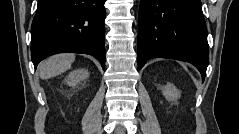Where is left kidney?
<instances>
[{
    "label": "left kidney",
    "mask_w": 239,
    "mask_h": 134,
    "mask_svg": "<svg viewBox=\"0 0 239 134\" xmlns=\"http://www.w3.org/2000/svg\"><path fill=\"white\" fill-rule=\"evenodd\" d=\"M162 93L168 101H175L181 96V92L171 83L162 87Z\"/></svg>",
    "instance_id": "5707ae66"
}]
</instances>
